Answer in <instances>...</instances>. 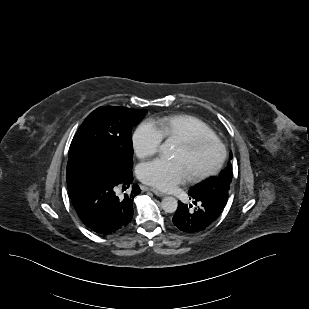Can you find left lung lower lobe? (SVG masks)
Segmentation results:
<instances>
[{"label":"left lung lower lobe","instance_id":"obj_1","mask_svg":"<svg viewBox=\"0 0 309 309\" xmlns=\"http://www.w3.org/2000/svg\"><path fill=\"white\" fill-rule=\"evenodd\" d=\"M195 208L190 209L187 204L178 203V208L172 218L177 230L185 234H197L211 227L220 217L227 199L206 196L193 190L188 192Z\"/></svg>","mask_w":309,"mask_h":309}]
</instances>
